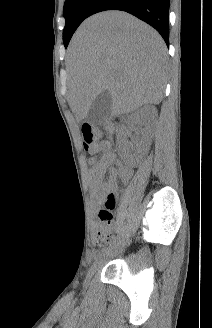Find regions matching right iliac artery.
I'll use <instances>...</instances> for the list:
<instances>
[{
    "mask_svg": "<svg viewBox=\"0 0 212 328\" xmlns=\"http://www.w3.org/2000/svg\"><path fill=\"white\" fill-rule=\"evenodd\" d=\"M119 240H120V237H117L109 247H106V248L102 249L101 252L98 253V255L95 257V259L97 257L101 256L102 254L110 251L114 246H116L118 244Z\"/></svg>",
    "mask_w": 212,
    "mask_h": 328,
    "instance_id": "82829eb1",
    "label": "right iliac artery"
}]
</instances>
